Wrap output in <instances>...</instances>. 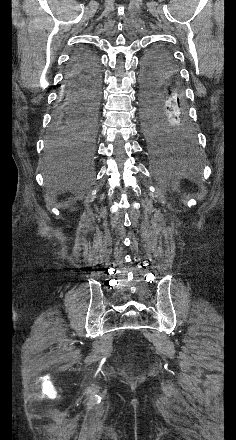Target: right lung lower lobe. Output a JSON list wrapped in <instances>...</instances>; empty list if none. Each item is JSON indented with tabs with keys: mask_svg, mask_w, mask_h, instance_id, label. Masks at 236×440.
<instances>
[{
	"mask_svg": "<svg viewBox=\"0 0 236 440\" xmlns=\"http://www.w3.org/2000/svg\"><path fill=\"white\" fill-rule=\"evenodd\" d=\"M101 83L100 64L97 55L83 48L75 52L65 76L59 105L54 113L52 130L75 129L82 120L87 106L81 98L82 89L88 84Z\"/></svg>",
	"mask_w": 236,
	"mask_h": 440,
	"instance_id": "1",
	"label": "right lung lower lobe"
}]
</instances>
